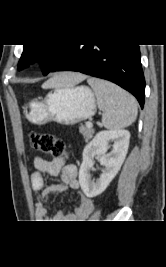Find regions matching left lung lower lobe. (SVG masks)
<instances>
[{
	"label": "left lung lower lobe",
	"mask_w": 166,
	"mask_h": 267,
	"mask_svg": "<svg viewBox=\"0 0 166 267\" xmlns=\"http://www.w3.org/2000/svg\"><path fill=\"white\" fill-rule=\"evenodd\" d=\"M55 71H78L109 80L132 93L144 106L145 79L139 45L68 44L49 70Z\"/></svg>",
	"instance_id": "obj_1"
}]
</instances>
